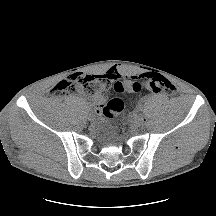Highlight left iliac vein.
I'll list each match as a JSON object with an SVG mask.
<instances>
[{"instance_id":"left-iliac-vein-1","label":"left iliac vein","mask_w":216,"mask_h":216,"mask_svg":"<svg viewBox=\"0 0 216 216\" xmlns=\"http://www.w3.org/2000/svg\"><path fill=\"white\" fill-rule=\"evenodd\" d=\"M144 122V118L142 115H137L135 118H134V121H133V124L135 127H140Z\"/></svg>"}]
</instances>
